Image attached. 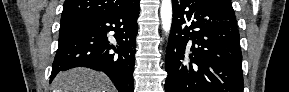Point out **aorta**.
Returning <instances> with one entry per match:
<instances>
[{
  "instance_id": "1",
  "label": "aorta",
  "mask_w": 289,
  "mask_h": 92,
  "mask_svg": "<svg viewBox=\"0 0 289 92\" xmlns=\"http://www.w3.org/2000/svg\"><path fill=\"white\" fill-rule=\"evenodd\" d=\"M172 2L171 0H162L160 8V17L162 28L166 34H169L172 24Z\"/></svg>"
}]
</instances>
